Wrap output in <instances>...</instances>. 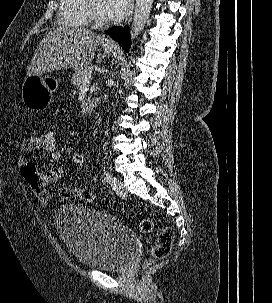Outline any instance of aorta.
<instances>
[{"label":"aorta","instance_id":"762f6f07","mask_svg":"<svg viewBox=\"0 0 272 303\" xmlns=\"http://www.w3.org/2000/svg\"><path fill=\"white\" fill-rule=\"evenodd\" d=\"M154 0H136V6L131 25V40L135 41L143 31L148 20Z\"/></svg>","mask_w":272,"mask_h":303}]
</instances>
